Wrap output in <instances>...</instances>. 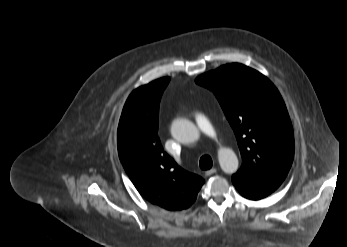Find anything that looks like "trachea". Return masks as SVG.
Wrapping results in <instances>:
<instances>
[{
	"instance_id": "1",
	"label": "trachea",
	"mask_w": 347,
	"mask_h": 247,
	"mask_svg": "<svg viewBox=\"0 0 347 247\" xmlns=\"http://www.w3.org/2000/svg\"><path fill=\"white\" fill-rule=\"evenodd\" d=\"M213 165L212 159L209 155H204L200 158L199 166L202 170H209Z\"/></svg>"
}]
</instances>
